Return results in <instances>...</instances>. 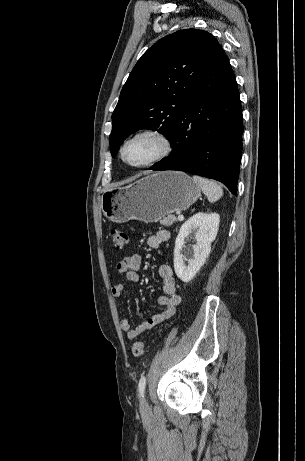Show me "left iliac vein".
I'll list each match as a JSON object with an SVG mask.
<instances>
[{
  "label": "left iliac vein",
  "instance_id": "obj_1",
  "mask_svg": "<svg viewBox=\"0 0 305 461\" xmlns=\"http://www.w3.org/2000/svg\"><path fill=\"white\" fill-rule=\"evenodd\" d=\"M147 407H148L147 402H146V400L143 399L142 402H141V408L146 409Z\"/></svg>",
  "mask_w": 305,
  "mask_h": 461
}]
</instances>
